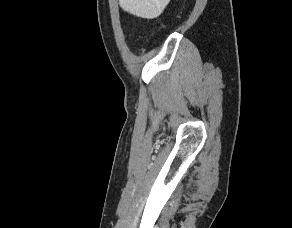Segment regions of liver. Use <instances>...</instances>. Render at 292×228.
Wrapping results in <instances>:
<instances>
[{
  "label": "liver",
  "mask_w": 292,
  "mask_h": 228,
  "mask_svg": "<svg viewBox=\"0 0 292 228\" xmlns=\"http://www.w3.org/2000/svg\"><path fill=\"white\" fill-rule=\"evenodd\" d=\"M169 2L170 0H119L124 11L145 19L161 15Z\"/></svg>",
  "instance_id": "6515ba94"
}]
</instances>
